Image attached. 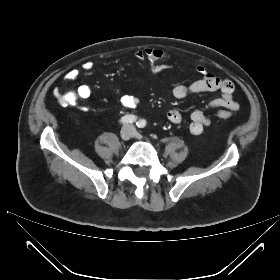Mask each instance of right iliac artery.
<instances>
[{
    "label": "right iliac artery",
    "instance_id": "right-iliac-artery-1",
    "mask_svg": "<svg viewBox=\"0 0 280 280\" xmlns=\"http://www.w3.org/2000/svg\"><path fill=\"white\" fill-rule=\"evenodd\" d=\"M136 119H137V117L134 116V115H125L120 119V123L124 124V125L125 124H130V123L135 122Z\"/></svg>",
    "mask_w": 280,
    "mask_h": 280
}]
</instances>
